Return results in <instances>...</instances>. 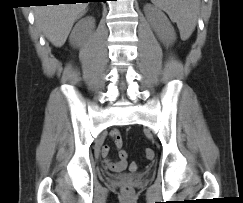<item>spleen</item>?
<instances>
[{"label": "spleen", "mask_w": 243, "mask_h": 203, "mask_svg": "<svg viewBox=\"0 0 243 203\" xmlns=\"http://www.w3.org/2000/svg\"><path fill=\"white\" fill-rule=\"evenodd\" d=\"M151 2L165 11L171 21L177 24L182 40H187L191 36L197 23L200 0H151Z\"/></svg>", "instance_id": "1"}]
</instances>
